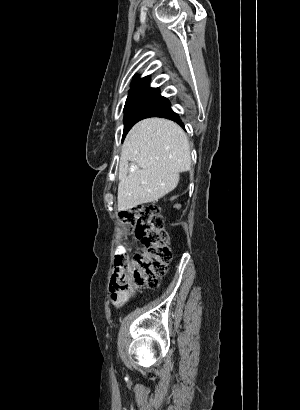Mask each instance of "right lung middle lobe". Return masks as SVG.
Listing matches in <instances>:
<instances>
[{"mask_svg": "<svg viewBox=\"0 0 300 410\" xmlns=\"http://www.w3.org/2000/svg\"><path fill=\"white\" fill-rule=\"evenodd\" d=\"M170 105L165 97L160 96L158 88H150L148 84L133 86L124 107L123 139L136 122L157 114Z\"/></svg>", "mask_w": 300, "mask_h": 410, "instance_id": "obj_1", "label": "right lung middle lobe"}]
</instances>
